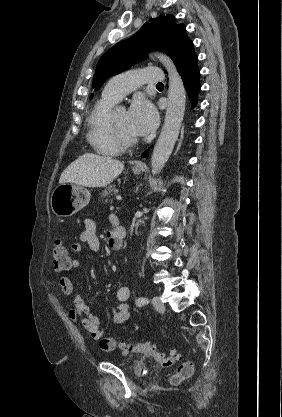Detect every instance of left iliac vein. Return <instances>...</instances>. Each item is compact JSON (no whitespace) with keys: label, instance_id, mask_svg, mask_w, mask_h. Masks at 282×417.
Returning <instances> with one entry per match:
<instances>
[{"label":"left iliac vein","instance_id":"1","mask_svg":"<svg viewBox=\"0 0 282 417\" xmlns=\"http://www.w3.org/2000/svg\"><path fill=\"white\" fill-rule=\"evenodd\" d=\"M152 304L155 307V309L159 312H163L165 310V306L158 296H154L152 298Z\"/></svg>","mask_w":282,"mask_h":417}]
</instances>
